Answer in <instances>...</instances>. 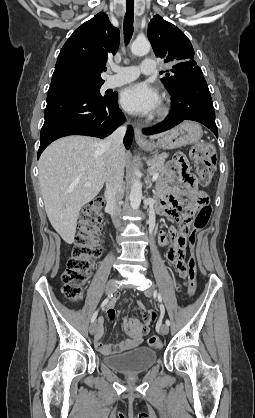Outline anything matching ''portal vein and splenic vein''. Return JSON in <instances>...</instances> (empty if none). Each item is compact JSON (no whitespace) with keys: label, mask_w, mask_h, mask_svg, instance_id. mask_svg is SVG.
<instances>
[{"label":"portal vein and splenic vein","mask_w":255,"mask_h":418,"mask_svg":"<svg viewBox=\"0 0 255 418\" xmlns=\"http://www.w3.org/2000/svg\"><path fill=\"white\" fill-rule=\"evenodd\" d=\"M158 176H159V173L158 172H155L153 175H152V181L154 182V181H156L157 180V178H158ZM91 183L90 182H87V183H85V186H89Z\"/></svg>","instance_id":"obj_1"}]
</instances>
